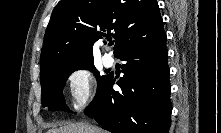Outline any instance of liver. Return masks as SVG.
I'll use <instances>...</instances> for the list:
<instances>
[{"instance_id": "obj_1", "label": "liver", "mask_w": 221, "mask_h": 133, "mask_svg": "<svg viewBox=\"0 0 221 133\" xmlns=\"http://www.w3.org/2000/svg\"><path fill=\"white\" fill-rule=\"evenodd\" d=\"M47 133H105L103 130L86 123H69L60 128L49 129Z\"/></svg>"}]
</instances>
